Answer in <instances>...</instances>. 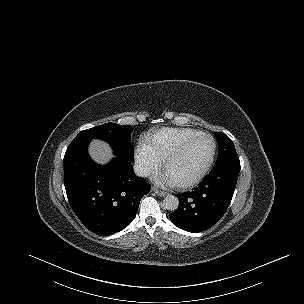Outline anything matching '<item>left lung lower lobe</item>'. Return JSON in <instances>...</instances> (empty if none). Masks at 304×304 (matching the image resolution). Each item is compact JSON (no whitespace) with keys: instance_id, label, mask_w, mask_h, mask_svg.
Masks as SVG:
<instances>
[{"instance_id":"obj_1","label":"left lung lower lobe","mask_w":304,"mask_h":304,"mask_svg":"<svg viewBox=\"0 0 304 304\" xmlns=\"http://www.w3.org/2000/svg\"><path fill=\"white\" fill-rule=\"evenodd\" d=\"M239 172L240 161H231L212 169L191 192L178 194L180 206L169 215L173 224L188 232L216 224L232 200Z\"/></svg>"}]
</instances>
